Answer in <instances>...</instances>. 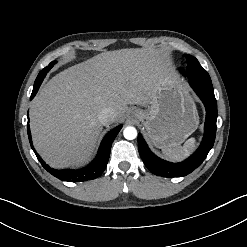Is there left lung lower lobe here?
<instances>
[{
  "instance_id": "0a47b994",
  "label": "left lung lower lobe",
  "mask_w": 247,
  "mask_h": 247,
  "mask_svg": "<svg viewBox=\"0 0 247 247\" xmlns=\"http://www.w3.org/2000/svg\"><path fill=\"white\" fill-rule=\"evenodd\" d=\"M184 69L180 72L184 75ZM185 76V75H184ZM189 84L202 100L206 108V120L204 126V137L193 155L180 163L164 161L154 155L148 148L141 134L138 135L139 154L150 172L162 177H183L198 168L207 157L213 147L216 136L217 102L211 81L189 78Z\"/></svg>"
}]
</instances>
